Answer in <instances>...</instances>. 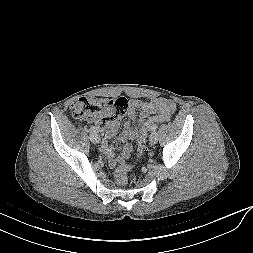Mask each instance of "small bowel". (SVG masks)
Masks as SVG:
<instances>
[{
  "mask_svg": "<svg viewBox=\"0 0 253 253\" xmlns=\"http://www.w3.org/2000/svg\"><path fill=\"white\" fill-rule=\"evenodd\" d=\"M139 110V113H136ZM176 110V104L167 98H155L149 101L139 99L131 100L128 104L127 113L130 121L124 124V130L119 136V142L122 144L118 155L115 154V146L112 141L120 127V119L114 126L106 132L102 142V152L108 159L109 166L115 168L118 164L124 163L131 155V142L136 139L140 130L151 122H163L168 120ZM155 122V123H156Z\"/></svg>",
  "mask_w": 253,
  "mask_h": 253,
  "instance_id": "1",
  "label": "small bowel"
}]
</instances>
